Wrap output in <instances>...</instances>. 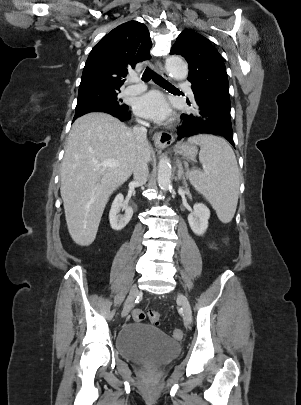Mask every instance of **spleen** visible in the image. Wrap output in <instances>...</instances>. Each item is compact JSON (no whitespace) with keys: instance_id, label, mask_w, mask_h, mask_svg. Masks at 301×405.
Returning <instances> with one entry per match:
<instances>
[{"instance_id":"obj_1","label":"spleen","mask_w":301,"mask_h":405,"mask_svg":"<svg viewBox=\"0 0 301 405\" xmlns=\"http://www.w3.org/2000/svg\"><path fill=\"white\" fill-rule=\"evenodd\" d=\"M188 142L200 146L203 166V171L191 172V184L210 202L223 223L230 222L239 192V169L233 150L224 139L211 135L193 136Z\"/></svg>"}]
</instances>
